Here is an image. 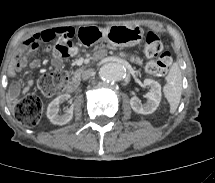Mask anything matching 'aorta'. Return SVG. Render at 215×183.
<instances>
[{
	"instance_id": "aorta-1",
	"label": "aorta",
	"mask_w": 215,
	"mask_h": 183,
	"mask_svg": "<svg viewBox=\"0 0 215 183\" xmlns=\"http://www.w3.org/2000/svg\"><path fill=\"white\" fill-rule=\"evenodd\" d=\"M126 76V68L118 63H106L99 69V77L103 81H119Z\"/></svg>"
}]
</instances>
